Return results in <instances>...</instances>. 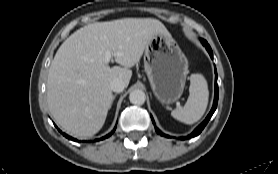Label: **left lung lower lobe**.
Listing matches in <instances>:
<instances>
[{"instance_id":"obj_1","label":"left lung lower lobe","mask_w":278,"mask_h":174,"mask_svg":"<svg viewBox=\"0 0 278 174\" xmlns=\"http://www.w3.org/2000/svg\"><path fill=\"white\" fill-rule=\"evenodd\" d=\"M205 47H206L208 53L210 54V57L213 59V52H212L210 46L206 45ZM218 94H219V91H218V85H217V72H216V67H215V96H214L213 107H212L210 113L208 114V116L206 117V119L190 135H188L187 137H181L182 140H184L186 138H193L202 132V130L204 129V127L206 126V124L208 123V121L210 120L211 116L213 115V113L215 112V110L217 108ZM151 119H152L153 124H155L152 116H151ZM155 130L158 134H160L162 136H167V135L163 134L157 127H155Z\"/></svg>"}]
</instances>
